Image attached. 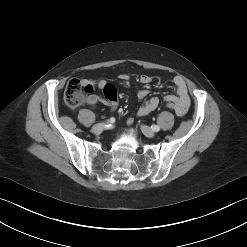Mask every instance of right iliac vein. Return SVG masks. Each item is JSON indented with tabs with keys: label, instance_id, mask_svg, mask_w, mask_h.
<instances>
[{
	"label": "right iliac vein",
	"instance_id": "63e3f726",
	"mask_svg": "<svg viewBox=\"0 0 247 247\" xmlns=\"http://www.w3.org/2000/svg\"><path fill=\"white\" fill-rule=\"evenodd\" d=\"M105 125L103 123L96 124L92 127V132L95 134H99L103 131Z\"/></svg>",
	"mask_w": 247,
	"mask_h": 247
}]
</instances>
